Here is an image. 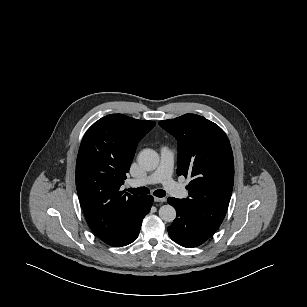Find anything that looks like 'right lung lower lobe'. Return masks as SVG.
Wrapping results in <instances>:
<instances>
[{
    "mask_svg": "<svg viewBox=\"0 0 307 307\" xmlns=\"http://www.w3.org/2000/svg\"><path fill=\"white\" fill-rule=\"evenodd\" d=\"M152 203H153V197L151 195L144 196V208H143V211H142V213L140 214V216L137 220V223H136L132 233L130 234V236L124 242H122L117 247L128 245V244L132 243L134 240H136V238L139 234L140 228H141L142 220L149 213L150 208L152 206Z\"/></svg>",
    "mask_w": 307,
    "mask_h": 307,
    "instance_id": "right-lung-lower-lobe-1",
    "label": "right lung lower lobe"
}]
</instances>
